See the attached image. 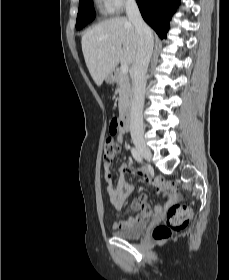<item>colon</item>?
Returning a JSON list of instances; mask_svg holds the SVG:
<instances>
[{
    "label": "colon",
    "mask_w": 229,
    "mask_h": 280,
    "mask_svg": "<svg viewBox=\"0 0 229 280\" xmlns=\"http://www.w3.org/2000/svg\"><path fill=\"white\" fill-rule=\"evenodd\" d=\"M118 122L113 120L109 128V136L107 137L104 145V161L110 164L118 153L120 146L114 138L115 130ZM110 179V176H108ZM156 184H160L157 181ZM191 212L187 206L172 205L167 211V215L163 224L156 226L152 230V238L155 241L162 242L167 240L173 232L185 228L190 220Z\"/></svg>",
    "instance_id": "obj_1"
}]
</instances>
